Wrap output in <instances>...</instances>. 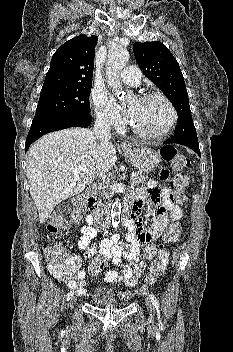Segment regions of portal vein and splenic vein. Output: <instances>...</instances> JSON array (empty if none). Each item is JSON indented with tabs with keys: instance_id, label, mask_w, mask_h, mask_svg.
<instances>
[{
	"instance_id": "portal-vein-and-splenic-vein-1",
	"label": "portal vein and splenic vein",
	"mask_w": 233,
	"mask_h": 352,
	"mask_svg": "<svg viewBox=\"0 0 233 352\" xmlns=\"http://www.w3.org/2000/svg\"><path fill=\"white\" fill-rule=\"evenodd\" d=\"M83 170H85V167L80 166L79 168L74 170V173L77 174L79 171H83ZM101 176L103 177V175H101ZM132 177H136V173H132Z\"/></svg>"
}]
</instances>
